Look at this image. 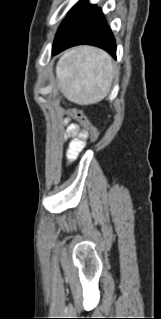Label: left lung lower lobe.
<instances>
[{
	"label": "left lung lower lobe",
	"mask_w": 161,
	"mask_h": 319,
	"mask_svg": "<svg viewBox=\"0 0 161 319\" xmlns=\"http://www.w3.org/2000/svg\"><path fill=\"white\" fill-rule=\"evenodd\" d=\"M82 44L100 47L116 59L115 39L99 8H94L67 35L54 42L52 53Z\"/></svg>",
	"instance_id": "left-lung-lower-lobe-1"
}]
</instances>
